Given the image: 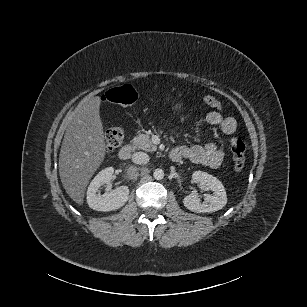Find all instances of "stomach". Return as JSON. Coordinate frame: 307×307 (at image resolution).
I'll return each mask as SVG.
<instances>
[{
	"mask_svg": "<svg viewBox=\"0 0 307 307\" xmlns=\"http://www.w3.org/2000/svg\"><path fill=\"white\" fill-rule=\"evenodd\" d=\"M182 104L181 103H176V104H174L173 105V107H172V110L173 111H176V112H180V111H182Z\"/></svg>",
	"mask_w": 307,
	"mask_h": 307,
	"instance_id": "0dacf381",
	"label": "stomach"
}]
</instances>
